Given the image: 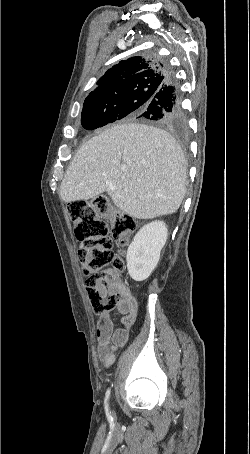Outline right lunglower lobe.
I'll return each mask as SVG.
<instances>
[{"label": "right lung lower lobe", "instance_id": "1", "mask_svg": "<svg viewBox=\"0 0 250 454\" xmlns=\"http://www.w3.org/2000/svg\"><path fill=\"white\" fill-rule=\"evenodd\" d=\"M181 102L180 87L169 68L167 81L156 92L146 110L137 118H146L170 128H180L185 123Z\"/></svg>", "mask_w": 250, "mask_h": 454}]
</instances>
